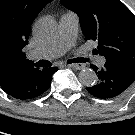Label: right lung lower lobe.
Here are the masks:
<instances>
[{
    "label": "right lung lower lobe",
    "instance_id": "98d812e1",
    "mask_svg": "<svg viewBox=\"0 0 135 135\" xmlns=\"http://www.w3.org/2000/svg\"><path fill=\"white\" fill-rule=\"evenodd\" d=\"M56 67L40 70L34 66L21 67L12 73L2 72L0 87L9 96L19 100H31L45 93L52 81Z\"/></svg>",
    "mask_w": 135,
    "mask_h": 135
}]
</instances>
